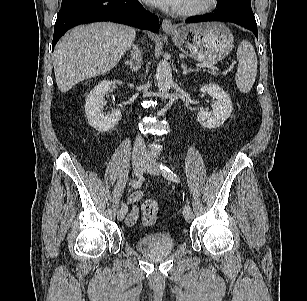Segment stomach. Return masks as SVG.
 Wrapping results in <instances>:
<instances>
[{"instance_id":"1","label":"stomach","mask_w":307,"mask_h":301,"mask_svg":"<svg viewBox=\"0 0 307 301\" xmlns=\"http://www.w3.org/2000/svg\"><path fill=\"white\" fill-rule=\"evenodd\" d=\"M168 34L182 52L201 62L220 61L234 46L232 32L220 22L186 25Z\"/></svg>"}]
</instances>
